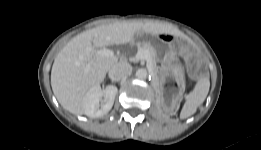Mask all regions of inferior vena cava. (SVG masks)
I'll use <instances>...</instances> for the list:
<instances>
[{
	"label": "inferior vena cava",
	"instance_id": "602c4592",
	"mask_svg": "<svg viewBox=\"0 0 261 150\" xmlns=\"http://www.w3.org/2000/svg\"><path fill=\"white\" fill-rule=\"evenodd\" d=\"M132 73V66L124 61L118 62L110 68L109 78L113 81L121 80Z\"/></svg>",
	"mask_w": 261,
	"mask_h": 150
}]
</instances>
